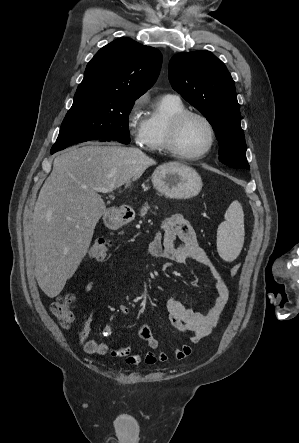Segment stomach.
<instances>
[{"label":"stomach","instance_id":"obj_1","mask_svg":"<svg viewBox=\"0 0 299 443\" xmlns=\"http://www.w3.org/2000/svg\"><path fill=\"white\" fill-rule=\"evenodd\" d=\"M154 188L167 198L189 199L196 196L202 188L199 174L191 167L180 163H168L155 169L152 174ZM127 222L116 216L111 227L119 228Z\"/></svg>","mask_w":299,"mask_h":443}]
</instances>
